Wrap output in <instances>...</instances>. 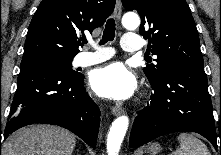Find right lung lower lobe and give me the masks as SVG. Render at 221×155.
I'll return each mask as SVG.
<instances>
[{
	"label": "right lung lower lobe",
	"instance_id": "1",
	"mask_svg": "<svg viewBox=\"0 0 221 155\" xmlns=\"http://www.w3.org/2000/svg\"><path fill=\"white\" fill-rule=\"evenodd\" d=\"M83 78L47 61L21 63L4 138L23 126L48 123L72 131L95 148L100 110L86 93Z\"/></svg>",
	"mask_w": 221,
	"mask_h": 155
}]
</instances>
